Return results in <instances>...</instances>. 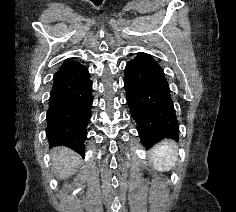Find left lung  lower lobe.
I'll use <instances>...</instances> for the list:
<instances>
[{"label":"left lung lower lobe","instance_id":"obj_1","mask_svg":"<svg viewBox=\"0 0 236 212\" xmlns=\"http://www.w3.org/2000/svg\"><path fill=\"white\" fill-rule=\"evenodd\" d=\"M124 86L143 145L150 148L163 138L178 140V122L169 83L152 55L139 52L126 65Z\"/></svg>","mask_w":236,"mask_h":212}]
</instances>
